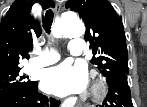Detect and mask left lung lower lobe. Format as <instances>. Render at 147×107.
Wrapping results in <instances>:
<instances>
[{
    "label": "left lung lower lobe",
    "instance_id": "0a47b994",
    "mask_svg": "<svg viewBox=\"0 0 147 107\" xmlns=\"http://www.w3.org/2000/svg\"><path fill=\"white\" fill-rule=\"evenodd\" d=\"M107 83L109 93L102 105L97 107H133L127 74H121L108 80Z\"/></svg>",
    "mask_w": 147,
    "mask_h": 107
}]
</instances>
